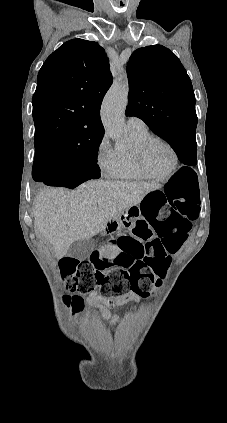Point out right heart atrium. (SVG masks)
Masks as SVG:
<instances>
[{"label": "right heart atrium", "instance_id": "obj_1", "mask_svg": "<svg viewBox=\"0 0 227 423\" xmlns=\"http://www.w3.org/2000/svg\"><path fill=\"white\" fill-rule=\"evenodd\" d=\"M96 164L100 172L106 177H115L118 169L116 150L106 134H103L96 148Z\"/></svg>", "mask_w": 227, "mask_h": 423}]
</instances>
